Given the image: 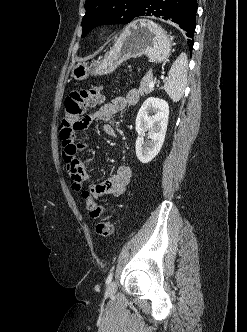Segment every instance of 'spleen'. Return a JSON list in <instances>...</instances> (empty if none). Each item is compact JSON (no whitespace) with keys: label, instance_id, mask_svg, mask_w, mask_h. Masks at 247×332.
<instances>
[{"label":"spleen","instance_id":"obj_1","mask_svg":"<svg viewBox=\"0 0 247 332\" xmlns=\"http://www.w3.org/2000/svg\"><path fill=\"white\" fill-rule=\"evenodd\" d=\"M187 71V56L181 53L172 64L169 70L168 80L163 86V89L173 102H178L183 96L184 89L187 85Z\"/></svg>","mask_w":247,"mask_h":332}]
</instances>
